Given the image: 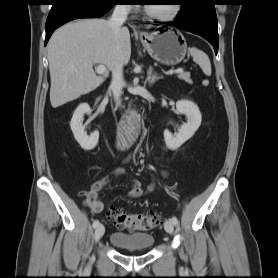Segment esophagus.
<instances>
[{"mask_svg": "<svg viewBox=\"0 0 278 278\" xmlns=\"http://www.w3.org/2000/svg\"><path fill=\"white\" fill-rule=\"evenodd\" d=\"M140 35H141V36H146V35H147V33H146V32H144V31H142V32L140 33Z\"/></svg>", "mask_w": 278, "mask_h": 278, "instance_id": "34e87169", "label": "esophagus"}]
</instances>
